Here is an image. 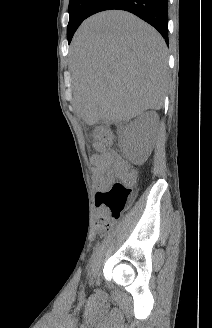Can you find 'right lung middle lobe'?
I'll return each mask as SVG.
<instances>
[{"mask_svg": "<svg viewBox=\"0 0 212 328\" xmlns=\"http://www.w3.org/2000/svg\"><path fill=\"white\" fill-rule=\"evenodd\" d=\"M96 0H70L69 2V23L67 27V37L70 43L79 25L87 18V14Z\"/></svg>", "mask_w": 212, "mask_h": 328, "instance_id": "1", "label": "right lung middle lobe"}]
</instances>
